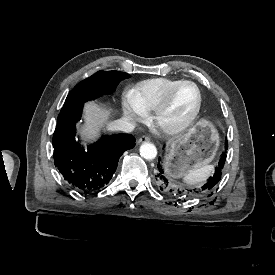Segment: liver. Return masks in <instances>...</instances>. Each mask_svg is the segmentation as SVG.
<instances>
[{"instance_id":"liver-1","label":"liver","mask_w":275,"mask_h":275,"mask_svg":"<svg viewBox=\"0 0 275 275\" xmlns=\"http://www.w3.org/2000/svg\"><path fill=\"white\" fill-rule=\"evenodd\" d=\"M111 109L102 107L95 102H88L84 107V120L83 126H77L78 132L81 137L85 140H95L99 136V131L104 126H108L110 122L108 118L110 116Z\"/></svg>"}]
</instances>
